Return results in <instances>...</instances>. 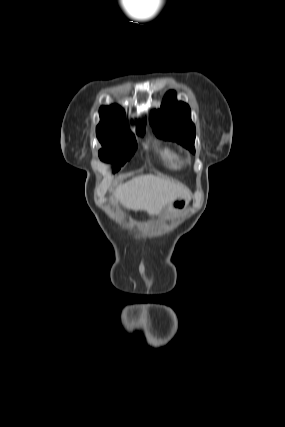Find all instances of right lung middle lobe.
<instances>
[{"label":"right lung middle lobe","instance_id":"obj_1","mask_svg":"<svg viewBox=\"0 0 285 427\" xmlns=\"http://www.w3.org/2000/svg\"><path fill=\"white\" fill-rule=\"evenodd\" d=\"M137 133L141 135L143 128ZM97 138L103 146L99 157L102 161L114 163V172L132 157L137 148L135 136L129 129L97 132Z\"/></svg>","mask_w":285,"mask_h":427}]
</instances>
